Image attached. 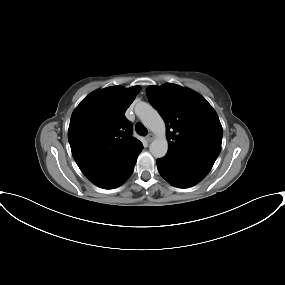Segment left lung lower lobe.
<instances>
[{"instance_id": "left-lung-lower-lobe-1", "label": "left lung lower lobe", "mask_w": 285, "mask_h": 285, "mask_svg": "<svg viewBox=\"0 0 285 285\" xmlns=\"http://www.w3.org/2000/svg\"><path fill=\"white\" fill-rule=\"evenodd\" d=\"M157 168L160 175L171 185L188 188L201 181L212 166L167 153L165 157L157 160Z\"/></svg>"}]
</instances>
